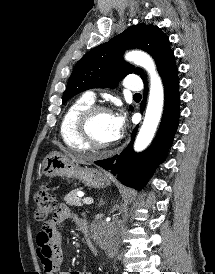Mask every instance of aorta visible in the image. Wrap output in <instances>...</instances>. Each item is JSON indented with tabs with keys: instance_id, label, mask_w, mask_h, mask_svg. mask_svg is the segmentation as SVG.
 Masks as SVG:
<instances>
[{
	"instance_id": "obj_1",
	"label": "aorta",
	"mask_w": 215,
	"mask_h": 274,
	"mask_svg": "<svg viewBox=\"0 0 215 274\" xmlns=\"http://www.w3.org/2000/svg\"><path fill=\"white\" fill-rule=\"evenodd\" d=\"M125 59L142 66L150 75V94L146 114L134 143L135 151L140 152L150 144L156 132L163 111L164 90L155 64L149 55L135 50L127 53Z\"/></svg>"
}]
</instances>
